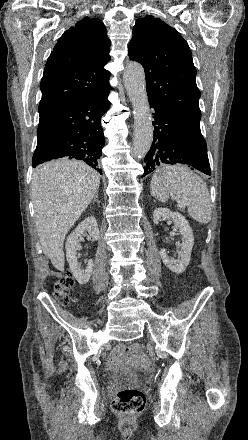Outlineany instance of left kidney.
<instances>
[{
    "label": "left kidney",
    "instance_id": "left-kidney-1",
    "mask_svg": "<svg viewBox=\"0 0 248 440\" xmlns=\"http://www.w3.org/2000/svg\"><path fill=\"white\" fill-rule=\"evenodd\" d=\"M172 218L174 224L179 228L182 235L180 258L176 261L166 253L165 249H161L160 256L163 263L174 273H183L190 262L192 247L194 245V236L187 219L179 212H172L166 208H157L153 212V222L158 225L160 221Z\"/></svg>",
    "mask_w": 248,
    "mask_h": 440
}]
</instances>
